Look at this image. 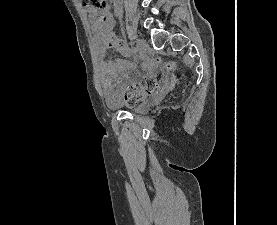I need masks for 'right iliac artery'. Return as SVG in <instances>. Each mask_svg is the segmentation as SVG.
<instances>
[{
  "label": "right iliac artery",
  "mask_w": 277,
  "mask_h": 225,
  "mask_svg": "<svg viewBox=\"0 0 277 225\" xmlns=\"http://www.w3.org/2000/svg\"><path fill=\"white\" fill-rule=\"evenodd\" d=\"M137 51H138V48H137L136 46L132 45V46H131V52L134 53V54H136Z\"/></svg>",
  "instance_id": "obj_1"
}]
</instances>
